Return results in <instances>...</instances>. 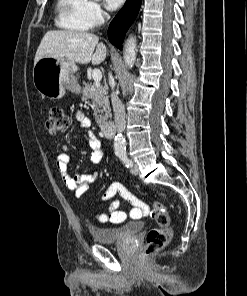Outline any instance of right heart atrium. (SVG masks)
I'll list each match as a JSON object with an SVG mask.
<instances>
[{"label": "right heart atrium", "instance_id": "d8ad5b80", "mask_svg": "<svg viewBox=\"0 0 247 296\" xmlns=\"http://www.w3.org/2000/svg\"><path fill=\"white\" fill-rule=\"evenodd\" d=\"M83 18L90 28L101 25L106 17V12L96 0H84Z\"/></svg>", "mask_w": 247, "mask_h": 296}]
</instances>
